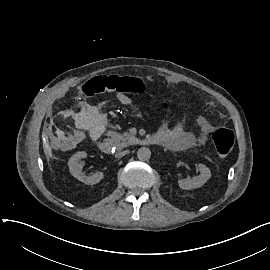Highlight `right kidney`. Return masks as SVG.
Wrapping results in <instances>:
<instances>
[{
  "instance_id": "ca27d5eb",
  "label": "right kidney",
  "mask_w": 270,
  "mask_h": 270,
  "mask_svg": "<svg viewBox=\"0 0 270 270\" xmlns=\"http://www.w3.org/2000/svg\"><path fill=\"white\" fill-rule=\"evenodd\" d=\"M86 157L87 153L85 151L76 152L74 155H72L68 161L69 171L79 181L87 185H94L99 183L101 179H103L104 175L102 172H96L92 176L84 175L82 173L84 163H80V160Z\"/></svg>"
}]
</instances>
